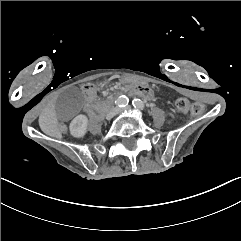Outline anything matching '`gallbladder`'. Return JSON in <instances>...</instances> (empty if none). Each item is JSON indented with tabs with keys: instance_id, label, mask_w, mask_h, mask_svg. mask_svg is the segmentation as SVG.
<instances>
[{
	"instance_id": "obj_1",
	"label": "gallbladder",
	"mask_w": 241,
	"mask_h": 241,
	"mask_svg": "<svg viewBox=\"0 0 241 241\" xmlns=\"http://www.w3.org/2000/svg\"><path fill=\"white\" fill-rule=\"evenodd\" d=\"M82 106V94L77 87H68L56 101V115L59 120L65 121L75 116Z\"/></svg>"
}]
</instances>
